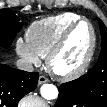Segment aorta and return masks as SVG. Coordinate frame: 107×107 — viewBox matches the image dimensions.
I'll return each mask as SVG.
<instances>
[{"label": "aorta", "instance_id": "1", "mask_svg": "<svg viewBox=\"0 0 107 107\" xmlns=\"http://www.w3.org/2000/svg\"><path fill=\"white\" fill-rule=\"evenodd\" d=\"M41 96L46 100H53L58 97V89L53 84H44L41 87Z\"/></svg>", "mask_w": 107, "mask_h": 107}]
</instances>
